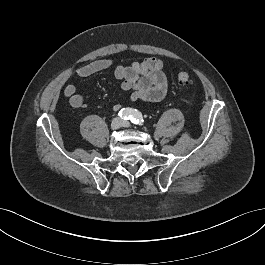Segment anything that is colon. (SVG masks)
<instances>
[{
  "label": "colon",
  "instance_id": "obj_1",
  "mask_svg": "<svg viewBox=\"0 0 265 265\" xmlns=\"http://www.w3.org/2000/svg\"><path fill=\"white\" fill-rule=\"evenodd\" d=\"M177 82H178V85L180 87L186 88L192 83V80H191V77H190V75L188 73L179 72L177 74Z\"/></svg>",
  "mask_w": 265,
  "mask_h": 265
}]
</instances>
